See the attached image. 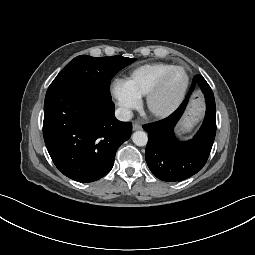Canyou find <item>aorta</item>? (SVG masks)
Here are the masks:
<instances>
[{
	"label": "aorta",
	"mask_w": 255,
	"mask_h": 255,
	"mask_svg": "<svg viewBox=\"0 0 255 255\" xmlns=\"http://www.w3.org/2000/svg\"><path fill=\"white\" fill-rule=\"evenodd\" d=\"M132 140L137 146H145L148 142V136L144 131H136L132 135Z\"/></svg>",
	"instance_id": "762f6f07"
}]
</instances>
